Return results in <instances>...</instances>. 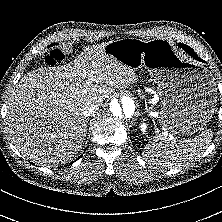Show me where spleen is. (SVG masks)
Returning <instances> with one entry per match:
<instances>
[{
	"label": "spleen",
	"mask_w": 222,
	"mask_h": 222,
	"mask_svg": "<svg viewBox=\"0 0 222 222\" xmlns=\"http://www.w3.org/2000/svg\"><path fill=\"white\" fill-rule=\"evenodd\" d=\"M211 141V132L206 131L194 139L180 141L176 147L169 141L157 136L148 143L143 151V156L152 163L163 167H182L199 158Z\"/></svg>",
	"instance_id": "spleen-1"
}]
</instances>
